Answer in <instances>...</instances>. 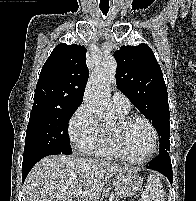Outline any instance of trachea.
Returning <instances> with one entry per match:
<instances>
[{"instance_id":"trachea-1","label":"trachea","mask_w":196,"mask_h":201,"mask_svg":"<svg viewBox=\"0 0 196 201\" xmlns=\"http://www.w3.org/2000/svg\"><path fill=\"white\" fill-rule=\"evenodd\" d=\"M100 10L102 11V13L104 15H107L108 11H109V6H100Z\"/></svg>"}]
</instances>
